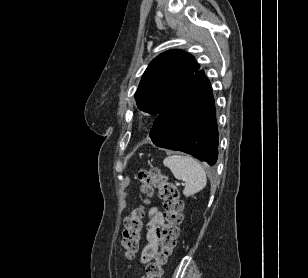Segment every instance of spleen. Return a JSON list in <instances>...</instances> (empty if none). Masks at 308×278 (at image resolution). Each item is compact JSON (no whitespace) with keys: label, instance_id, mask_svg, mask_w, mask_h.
<instances>
[{"label":"spleen","instance_id":"obj_1","mask_svg":"<svg viewBox=\"0 0 308 278\" xmlns=\"http://www.w3.org/2000/svg\"><path fill=\"white\" fill-rule=\"evenodd\" d=\"M174 177L185 181L183 194L186 197L201 191L207 182L206 173L200 163L190 156L170 155L163 161Z\"/></svg>","mask_w":308,"mask_h":278}]
</instances>
